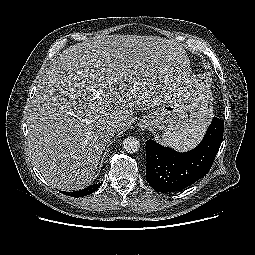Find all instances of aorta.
Instances as JSON below:
<instances>
[{"label": "aorta", "instance_id": "obj_1", "mask_svg": "<svg viewBox=\"0 0 255 255\" xmlns=\"http://www.w3.org/2000/svg\"><path fill=\"white\" fill-rule=\"evenodd\" d=\"M140 148V142L135 137H127L123 140V149L127 153H136Z\"/></svg>", "mask_w": 255, "mask_h": 255}]
</instances>
